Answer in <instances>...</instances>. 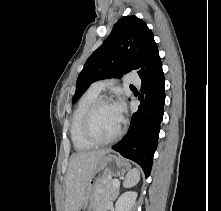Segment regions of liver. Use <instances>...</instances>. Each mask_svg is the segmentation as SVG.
<instances>
[{"mask_svg": "<svg viewBox=\"0 0 221 211\" xmlns=\"http://www.w3.org/2000/svg\"><path fill=\"white\" fill-rule=\"evenodd\" d=\"M109 150L75 153L70 157L66 174L64 211H79L89 179L95 172L99 159Z\"/></svg>", "mask_w": 221, "mask_h": 211, "instance_id": "1", "label": "liver"}]
</instances>
